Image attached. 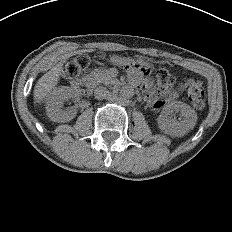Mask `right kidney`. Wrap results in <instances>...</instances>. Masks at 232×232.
I'll use <instances>...</instances> for the list:
<instances>
[{"instance_id": "right-kidney-1", "label": "right kidney", "mask_w": 232, "mask_h": 232, "mask_svg": "<svg viewBox=\"0 0 232 232\" xmlns=\"http://www.w3.org/2000/svg\"><path fill=\"white\" fill-rule=\"evenodd\" d=\"M76 96L75 91L68 86L53 89L46 97V114L54 122L71 121L77 114L76 109H62L63 102Z\"/></svg>"}]
</instances>
